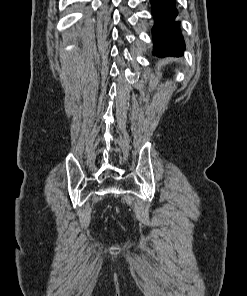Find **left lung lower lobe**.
Wrapping results in <instances>:
<instances>
[{
  "mask_svg": "<svg viewBox=\"0 0 247 296\" xmlns=\"http://www.w3.org/2000/svg\"><path fill=\"white\" fill-rule=\"evenodd\" d=\"M155 24L152 29L154 50L153 54L164 56H180L185 44L179 30V22L175 19L178 11L176 0H150Z\"/></svg>",
  "mask_w": 247,
  "mask_h": 296,
  "instance_id": "obj_1",
  "label": "left lung lower lobe"
}]
</instances>
